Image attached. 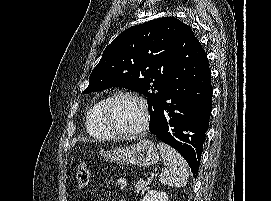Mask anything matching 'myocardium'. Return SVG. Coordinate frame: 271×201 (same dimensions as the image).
<instances>
[{"mask_svg": "<svg viewBox=\"0 0 271 201\" xmlns=\"http://www.w3.org/2000/svg\"><path fill=\"white\" fill-rule=\"evenodd\" d=\"M131 97L135 99L140 106L142 107L143 110V120L140 126L134 130L131 131H122L119 130L114 123L112 122L111 116H110V108L114 100H116L119 97ZM102 119L106 127L116 136L119 137H134L138 136L144 131H146L150 125L151 121V114H150V108L148 105L147 100L140 95L138 92L133 91V90H118L111 94L106 100L102 108Z\"/></svg>", "mask_w": 271, "mask_h": 201, "instance_id": "myocardium-1", "label": "myocardium"}]
</instances>
